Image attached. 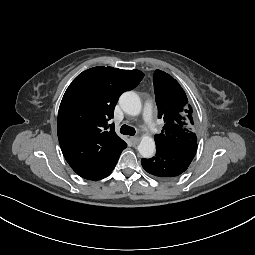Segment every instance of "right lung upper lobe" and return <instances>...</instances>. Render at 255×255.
Wrapping results in <instances>:
<instances>
[{
	"label": "right lung upper lobe",
	"mask_w": 255,
	"mask_h": 255,
	"mask_svg": "<svg viewBox=\"0 0 255 255\" xmlns=\"http://www.w3.org/2000/svg\"><path fill=\"white\" fill-rule=\"evenodd\" d=\"M143 77L139 70L98 66L79 74L67 88L59 107L57 133L66 161L79 176L95 177L127 147L108 121L120 95L135 88Z\"/></svg>",
	"instance_id": "obj_1"
}]
</instances>
